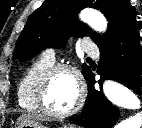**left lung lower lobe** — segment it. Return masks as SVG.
I'll return each mask as SVG.
<instances>
[{"label":"left lung lower lobe","instance_id":"left-lung-lower-lobe-1","mask_svg":"<svg viewBox=\"0 0 142 128\" xmlns=\"http://www.w3.org/2000/svg\"><path fill=\"white\" fill-rule=\"evenodd\" d=\"M137 22L128 30L99 47L100 61L97 73L100 88L105 79L129 86L140 94L142 79V47ZM88 99L82 114L70 120L84 128H113L119 119V110L104 96L102 90L94 88L95 75L86 76Z\"/></svg>","mask_w":142,"mask_h":128}]
</instances>
